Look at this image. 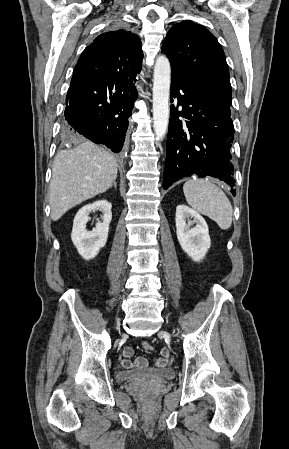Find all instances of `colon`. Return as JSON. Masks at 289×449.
<instances>
[{
  "mask_svg": "<svg viewBox=\"0 0 289 449\" xmlns=\"http://www.w3.org/2000/svg\"><path fill=\"white\" fill-rule=\"evenodd\" d=\"M142 347H143L145 350H147V351L152 350V345H151L149 342H147V341H144V342L142 343Z\"/></svg>",
  "mask_w": 289,
  "mask_h": 449,
  "instance_id": "5ec220e1",
  "label": "colon"
}]
</instances>
